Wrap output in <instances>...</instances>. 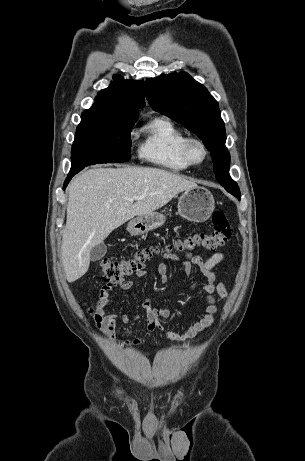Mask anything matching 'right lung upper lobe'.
I'll use <instances>...</instances> for the list:
<instances>
[{"label":"right lung upper lobe","mask_w":305,"mask_h":461,"mask_svg":"<svg viewBox=\"0 0 305 461\" xmlns=\"http://www.w3.org/2000/svg\"><path fill=\"white\" fill-rule=\"evenodd\" d=\"M144 82L113 76V82L101 90L95 104L82 115L113 119L137 120L138 109L145 105Z\"/></svg>","instance_id":"cb5924a9"}]
</instances>
